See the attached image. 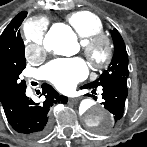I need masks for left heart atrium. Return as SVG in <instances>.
<instances>
[{"label":"left heart atrium","mask_w":147,"mask_h":147,"mask_svg":"<svg viewBox=\"0 0 147 147\" xmlns=\"http://www.w3.org/2000/svg\"><path fill=\"white\" fill-rule=\"evenodd\" d=\"M87 73V65L80 58L55 60L43 68L45 78L62 91L73 88Z\"/></svg>","instance_id":"39dd6f15"}]
</instances>
